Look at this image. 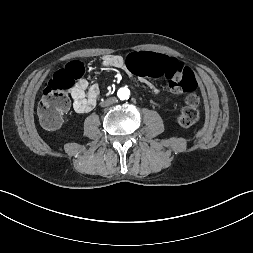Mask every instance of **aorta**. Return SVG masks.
Instances as JSON below:
<instances>
[{
	"label": "aorta",
	"instance_id": "762f6f07",
	"mask_svg": "<svg viewBox=\"0 0 253 253\" xmlns=\"http://www.w3.org/2000/svg\"><path fill=\"white\" fill-rule=\"evenodd\" d=\"M130 95V91L128 88H120L118 91V97L122 100L128 99Z\"/></svg>",
	"mask_w": 253,
	"mask_h": 253
}]
</instances>
